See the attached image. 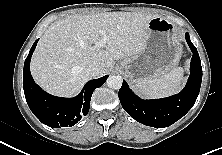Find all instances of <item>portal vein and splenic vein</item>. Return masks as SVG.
<instances>
[{
	"label": "portal vein and splenic vein",
	"instance_id": "18ae733b",
	"mask_svg": "<svg viewBox=\"0 0 222 155\" xmlns=\"http://www.w3.org/2000/svg\"><path fill=\"white\" fill-rule=\"evenodd\" d=\"M100 34H101V36H102V39L95 44V47H96V48H101V47H103V46L107 43V34H106V31L101 30V31H100Z\"/></svg>",
	"mask_w": 222,
	"mask_h": 155
}]
</instances>
